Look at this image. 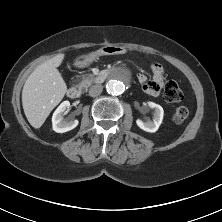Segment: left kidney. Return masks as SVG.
<instances>
[{"label": "left kidney", "instance_id": "1", "mask_svg": "<svg viewBox=\"0 0 222 222\" xmlns=\"http://www.w3.org/2000/svg\"><path fill=\"white\" fill-rule=\"evenodd\" d=\"M148 106L152 109H154V117H153V121H147V122H143L140 119L136 120V124L138 125V127L146 132H156L160 126V124L162 123V119H163V108L154 103V102H148Z\"/></svg>", "mask_w": 222, "mask_h": 222}]
</instances>
